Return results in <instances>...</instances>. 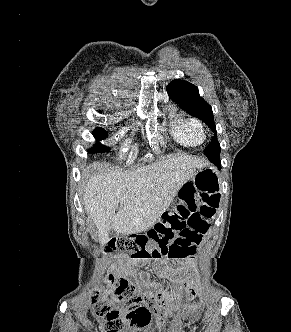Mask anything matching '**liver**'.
Segmentation results:
<instances>
[{
    "label": "liver",
    "mask_w": 291,
    "mask_h": 332,
    "mask_svg": "<svg viewBox=\"0 0 291 332\" xmlns=\"http://www.w3.org/2000/svg\"><path fill=\"white\" fill-rule=\"evenodd\" d=\"M208 165L203 158L175 154L130 172L110 169L90 175L83 204L97 227L100 243H107L110 229L129 235L153 226L180 188Z\"/></svg>",
    "instance_id": "liver-1"
}]
</instances>
